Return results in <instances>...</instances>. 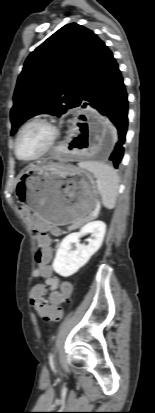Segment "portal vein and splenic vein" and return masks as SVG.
Here are the masks:
<instances>
[{
  "instance_id": "portal-vein-and-splenic-vein-1",
  "label": "portal vein and splenic vein",
  "mask_w": 155,
  "mask_h": 413,
  "mask_svg": "<svg viewBox=\"0 0 155 413\" xmlns=\"http://www.w3.org/2000/svg\"><path fill=\"white\" fill-rule=\"evenodd\" d=\"M97 214H98V211H95V212H94V215H97Z\"/></svg>"
}]
</instances>
